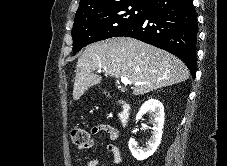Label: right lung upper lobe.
Instances as JSON below:
<instances>
[{"mask_svg": "<svg viewBox=\"0 0 227 166\" xmlns=\"http://www.w3.org/2000/svg\"><path fill=\"white\" fill-rule=\"evenodd\" d=\"M152 1L153 0H80V5L76 14L128 3L148 5Z\"/></svg>", "mask_w": 227, "mask_h": 166, "instance_id": "1", "label": "right lung upper lobe"}]
</instances>
